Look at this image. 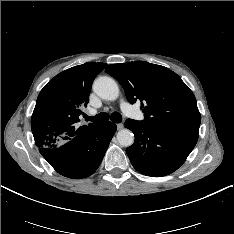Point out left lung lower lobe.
I'll use <instances>...</instances> for the list:
<instances>
[{"label": "left lung lower lobe", "mask_w": 234, "mask_h": 234, "mask_svg": "<svg viewBox=\"0 0 234 234\" xmlns=\"http://www.w3.org/2000/svg\"><path fill=\"white\" fill-rule=\"evenodd\" d=\"M125 127L135 135L126 149L133 167L147 176H165L177 170L198 140L197 127L152 126L128 119Z\"/></svg>", "instance_id": "left-lung-lower-lobe-1"}]
</instances>
